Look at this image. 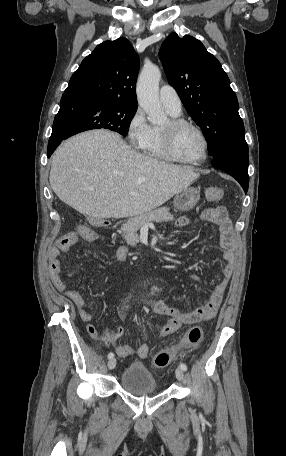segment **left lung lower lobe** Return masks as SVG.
<instances>
[{
  "instance_id": "obj_1",
  "label": "left lung lower lobe",
  "mask_w": 286,
  "mask_h": 456,
  "mask_svg": "<svg viewBox=\"0 0 286 456\" xmlns=\"http://www.w3.org/2000/svg\"><path fill=\"white\" fill-rule=\"evenodd\" d=\"M213 167L234 177L247 193L249 185L248 151H227L220 153L212 161Z\"/></svg>"
}]
</instances>
